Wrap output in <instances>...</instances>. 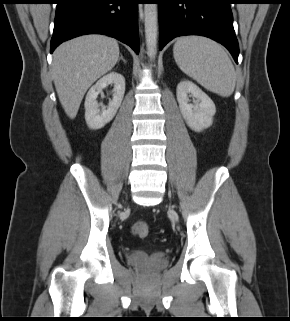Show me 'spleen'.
<instances>
[{"label":"spleen","instance_id":"spleen-1","mask_svg":"<svg viewBox=\"0 0 290 321\" xmlns=\"http://www.w3.org/2000/svg\"><path fill=\"white\" fill-rule=\"evenodd\" d=\"M179 68L207 90L223 97L235 88L234 66L224 49L205 37H182L173 48Z\"/></svg>","mask_w":290,"mask_h":321}]
</instances>
